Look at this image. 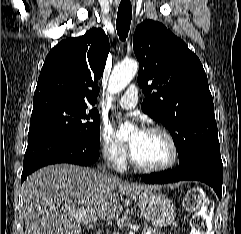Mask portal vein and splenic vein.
<instances>
[{"mask_svg":"<svg viewBox=\"0 0 241 234\" xmlns=\"http://www.w3.org/2000/svg\"><path fill=\"white\" fill-rule=\"evenodd\" d=\"M146 234H151V233L148 231V232H146Z\"/></svg>","mask_w":241,"mask_h":234,"instance_id":"18ae733b","label":"portal vein and splenic vein"}]
</instances>
